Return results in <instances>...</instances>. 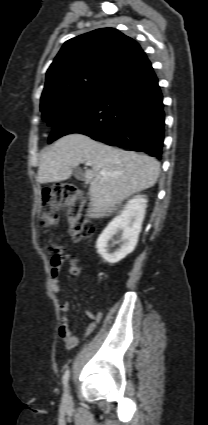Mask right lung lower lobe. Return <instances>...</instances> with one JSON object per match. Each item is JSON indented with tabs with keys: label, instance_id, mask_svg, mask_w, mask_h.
Instances as JSON below:
<instances>
[{
	"label": "right lung lower lobe",
	"instance_id": "obj_1",
	"mask_svg": "<svg viewBox=\"0 0 208 425\" xmlns=\"http://www.w3.org/2000/svg\"><path fill=\"white\" fill-rule=\"evenodd\" d=\"M105 94L87 108L59 119L48 142L80 133L110 146L161 158L164 140L163 97L147 56L115 78Z\"/></svg>",
	"mask_w": 208,
	"mask_h": 425
}]
</instances>
